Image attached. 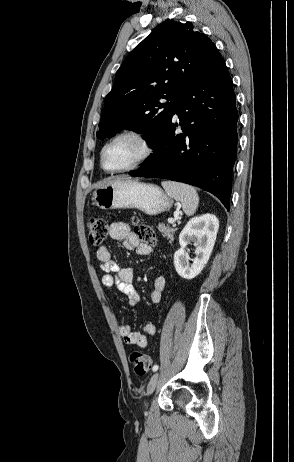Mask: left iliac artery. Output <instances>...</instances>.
<instances>
[{
	"mask_svg": "<svg viewBox=\"0 0 294 462\" xmlns=\"http://www.w3.org/2000/svg\"><path fill=\"white\" fill-rule=\"evenodd\" d=\"M159 366L158 365H154L153 368H152V371L153 372H156L158 370Z\"/></svg>",
	"mask_w": 294,
	"mask_h": 462,
	"instance_id": "44dca946",
	"label": "left iliac artery"
}]
</instances>
